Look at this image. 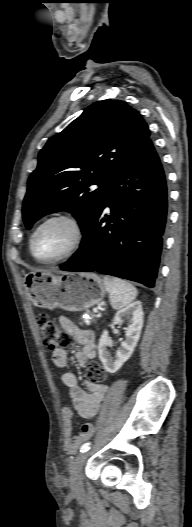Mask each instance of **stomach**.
<instances>
[{
    "mask_svg": "<svg viewBox=\"0 0 192 527\" xmlns=\"http://www.w3.org/2000/svg\"><path fill=\"white\" fill-rule=\"evenodd\" d=\"M25 282L34 305L49 310L83 311L100 303L106 292L102 279L94 273L54 275L40 271L26 275Z\"/></svg>",
    "mask_w": 192,
    "mask_h": 527,
    "instance_id": "stomach-1",
    "label": "stomach"
}]
</instances>
